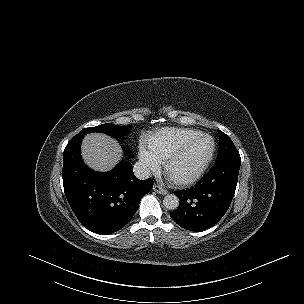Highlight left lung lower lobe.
I'll return each instance as SVG.
<instances>
[{"instance_id":"left-lung-lower-lobe-1","label":"left lung lower lobe","mask_w":304,"mask_h":304,"mask_svg":"<svg viewBox=\"0 0 304 304\" xmlns=\"http://www.w3.org/2000/svg\"><path fill=\"white\" fill-rule=\"evenodd\" d=\"M240 165V157L216 163L195 186L175 192L180 204L170 213L171 218L191 231H203L218 223L233 199Z\"/></svg>"}]
</instances>
